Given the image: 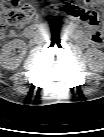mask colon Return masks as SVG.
Here are the masks:
<instances>
[{
    "instance_id": "5ec220e1",
    "label": "colon",
    "mask_w": 104,
    "mask_h": 137,
    "mask_svg": "<svg viewBox=\"0 0 104 137\" xmlns=\"http://www.w3.org/2000/svg\"><path fill=\"white\" fill-rule=\"evenodd\" d=\"M102 4L103 0H80L78 6H65L62 10L97 27L100 23L98 9ZM34 13L33 6L21 0H3L2 17L6 27L22 29L31 23ZM102 38L103 34L100 30H95L92 33L94 43H100Z\"/></svg>"
}]
</instances>
